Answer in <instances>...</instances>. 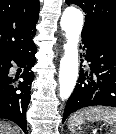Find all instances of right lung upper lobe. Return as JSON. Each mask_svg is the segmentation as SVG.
<instances>
[{"label": "right lung upper lobe", "instance_id": "cb5924a9", "mask_svg": "<svg viewBox=\"0 0 116 134\" xmlns=\"http://www.w3.org/2000/svg\"><path fill=\"white\" fill-rule=\"evenodd\" d=\"M39 0H0V62L36 34Z\"/></svg>", "mask_w": 116, "mask_h": 134}]
</instances>
